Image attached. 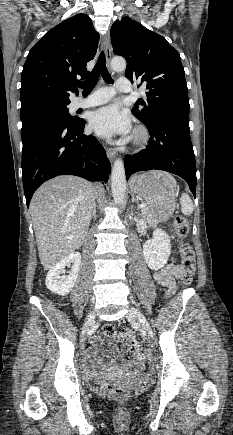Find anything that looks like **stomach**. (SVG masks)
<instances>
[{
    "label": "stomach",
    "instance_id": "0dacf381",
    "mask_svg": "<svg viewBox=\"0 0 233 435\" xmlns=\"http://www.w3.org/2000/svg\"><path fill=\"white\" fill-rule=\"evenodd\" d=\"M131 191L140 196L155 212L158 221H166L176 207V182L162 171H149L130 180Z\"/></svg>",
    "mask_w": 233,
    "mask_h": 435
}]
</instances>
